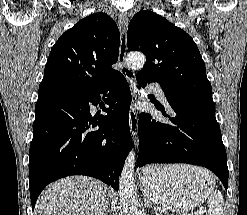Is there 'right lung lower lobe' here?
Listing matches in <instances>:
<instances>
[{"instance_id": "1", "label": "right lung lower lobe", "mask_w": 247, "mask_h": 215, "mask_svg": "<svg viewBox=\"0 0 247 215\" xmlns=\"http://www.w3.org/2000/svg\"><path fill=\"white\" fill-rule=\"evenodd\" d=\"M107 96L106 116L93 120L89 104ZM131 91L115 73L98 87L71 90L40 84L29 152L32 209L41 191L69 175L92 176L118 190L119 175L132 148L129 129ZM99 126L98 130L88 131Z\"/></svg>"}]
</instances>
